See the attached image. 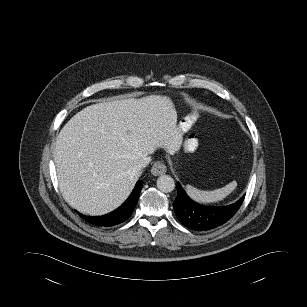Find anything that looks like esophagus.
Segmentation results:
<instances>
[{"instance_id": "34e87169", "label": "esophagus", "mask_w": 307, "mask_h": 307, "mask_svg": "<svg viewBox=\"0 0 307 307\" xmlns=\"http://www.w3.org/2000/svg\"><path fill=\"white\" fill-rule=\"evenodd\" d=\"M166 171H167V167L162 161H156L151 168V173L154 176L162 175Z\"/></svg>"}]
</instances>
